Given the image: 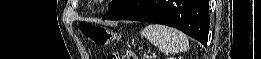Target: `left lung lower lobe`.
<instances>
[{
    "label": "left lung lower lobe",
    "mask_w": 261,
    "mask_h": 59,
    "mask_svg": "<svg viewBox=\"0 0 261 59\" xmlns=\"http://www.w3.org/2000/svg\"><path fill=\"white\" fill-rule=\"evenodd\" d=\"M103 19L137 20L168 25L206 46L209 0H124Z\"/></svg>",
    "instance_id": "0a47b994"
}]
</instances>
